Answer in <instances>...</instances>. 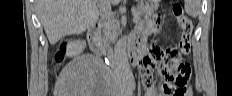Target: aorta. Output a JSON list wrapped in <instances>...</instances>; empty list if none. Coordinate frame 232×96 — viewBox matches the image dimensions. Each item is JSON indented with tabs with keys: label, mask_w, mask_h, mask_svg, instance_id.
Wrapping results in <instances>:
<instances>
[{
	"label": "aorta",
	"mask_w": 232,
	"mask_h": 96,
	"mask_svg": "<svg viewBox=\"0 0 232 96\" xmlns=\"http://www.w3.org/2000/svg\"><path fill=\"white\" fill-rule=\"evenodd\" d=\"M127 42L125 38H121L114 48V59L118 70L123 76H130L131 70L128 63L126 53Z\"/></svg>",
	"instance_id": "aorta-1"
}]
</instances>
